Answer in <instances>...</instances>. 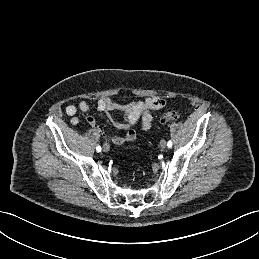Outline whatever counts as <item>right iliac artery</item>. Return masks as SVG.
Masks as SVG:
<instances>
[{"mask_svg": "<svg viewBox=\"0 0 259 259\" xmlns=\"http://www.w3.org/2000/svg\"><path fill=\"white\" fill-rule=\"evenodd\" d=\"M96 150H97V152H100V151H101V147H100V146H97V147H96Z\"/></svg>", "mask_w": 259, "mask_h": 259, "instance_id": "right-iliac-artery-1", "label": "right iliac artery"}]
</instances>
